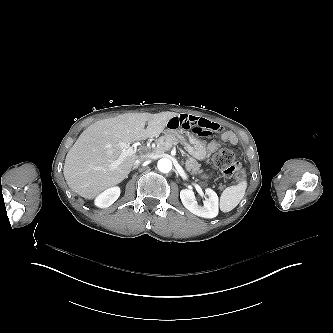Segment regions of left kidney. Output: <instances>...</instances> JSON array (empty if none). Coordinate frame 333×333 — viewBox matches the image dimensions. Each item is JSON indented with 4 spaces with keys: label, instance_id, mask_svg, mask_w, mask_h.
<instances>
[{
    "label": "left kidney",
    "instance_id": "1",
    "mask_svg": "<svg viewBox=\"0 0 333 333\" xmlns=\"http://www.w3.org/2000/svg\"><path fill=\"white\" fill-rule=\"evenodd\" d=\"M205 193L208 195V199L204 201L203 206L198 205L194 192L190 189L181 190L180 199L184 207L191 213L204 218H214L219 212L218 196L211 188H207Z\"/></svg>",
    "mask_w": 333,
    "mask_h": 333
}]
</instances>
